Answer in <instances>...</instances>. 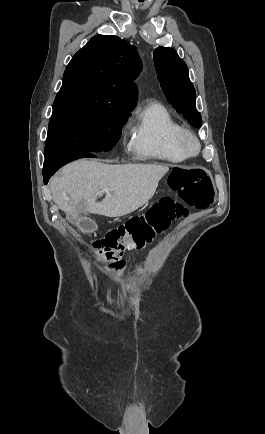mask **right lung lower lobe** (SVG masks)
Masks as SVG:
<instances>
[{"instance_id": "1", "label": "right lung lower lobe", "mask_w": 265, "mask_h": 434, "mask_svg": "<svg viewBox=\"0 0 265 434\" xmlns=\"http://www.w3.org/2000/svg\"><path fill=\"white\" fill-rule=\"evenodd\" d=\"M85 157H97V154L87 152L78 154H67L45 159L43 168L44 184H47L49 178L63 165L76 159Z\"/></svg>"}]
</instances>
